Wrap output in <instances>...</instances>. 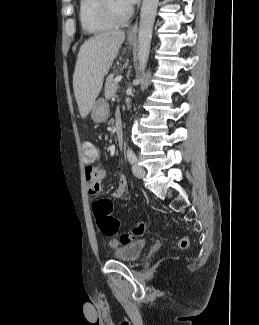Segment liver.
<instances>
[{
	"label": "liver",
	"mask_w": 259,
	"mask_h": 325,
	"mask_svg": "<svg viewBox=\"0 0 259 325\" xmlns=\"http://www.w3.org/2000/svg\"><path fill=\"white\" fill-rule=\"evenodd\" d=\"M124 40V31H106L89 38L80 47L73 74V88L82 118L90 113L102 89L104 77Z\"/></svg>",
	"instance_id": "obj_1"
}]
</instances>
